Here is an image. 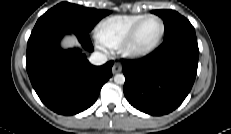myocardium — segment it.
Listing matches in <instances>:
<instances>
[{
	"mask_svg": "<svg viewBox=\"0 0 231 134\" xmlns=\"http://www.w3.org/2000/svg\"><path fill=\"white\" fill-rule=\"evenodd\" d=\"M150 18H156L160 21L161 27H162L160 36L157 39V41L150 47L145 48V49H136L134 46V43L139 33V30L142 27V25L145 23V21H147ZM165 32H166V25H165L164 20L159 15L147 14L133 26V28L131 29V31L129 32L125 40L123 41V43L120 45V52L123 56L128 57V58L136 59V58H142V57L148 56L160 46L165 36Z\"/></svg>",
	"mask_w": 231,
	"mask_h": 134,
	"instance_id": "f54148a6",
	"label": "myocardium"
}]
</instances>
